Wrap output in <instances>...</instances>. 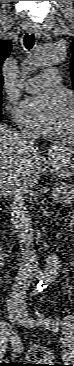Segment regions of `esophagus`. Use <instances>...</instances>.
Returning <instances> with one entry per match:
<instances>
[{"instance_id":"obj_1","label":"esophagus","mask_w":74,"mask_h":366,"mask_svg":"<svg viewBox=\"0 0 74 366\" xmlns=\"http://www.w3.org/2000/svg\"><path fill=\"white\" fill-rule=\"evenodd\" d=\"M28 31L30 33H34L37 37L40 36V30L38 29V27L36 25H32L28 28Z\"/></svg>"}]
</instances>
